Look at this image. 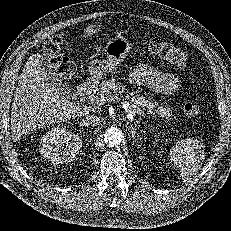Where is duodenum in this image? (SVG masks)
I'll return each mask as SVG.
<instances>
[{
  "mask_svg": "<svg viewBox=\"0 0 231 231\" xmlns=\"http://www.w3.org/2000/svg\"><path fill=\"white\" fill-rule=\"evenodd\" d=\"M93 87L94 82L92 80L85 81L78 87V95L82 98L88 96L92 92Z\"/></svg>",
  "mask_w": 231,
  "mask_h": 231,
  "instance_id": "1",
  "label": "duodenum"
}]
</instances>
